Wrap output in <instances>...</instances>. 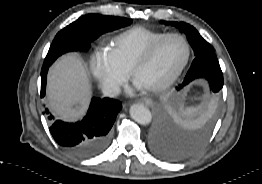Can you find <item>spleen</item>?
Segmentation results:
<instances>
[{
    "instance_id": "spleen-1",
    "label": "spleen",
    "mask_w": 262,
    "mask_h": 184,
    "mask_svg": "<svg viewBox=\"0 0 262 184\" xmlns=\"http://www.w3.org/2000/svg\"><path fill=\"white\" fill-rule=\"evenodd\" d=\"M199 107H190V108H187L183 113L185 115H191L193 114L194 112H196L198 110Z\"/></svg>"
}]
</instances>
